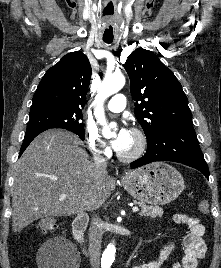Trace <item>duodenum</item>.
Here are the masks:
<instances>
[{
    "label": "duodenum",
    "instance_id": "1",
    "mask_svg": "<svg viewBox=\"0 0 221 268\" xmlns=\"http://www.w3.org/2000/svg\"><path fill=\"white\" fill-rule=\"evenodd\" d=\"M88 224V216L86 214H78L72 225V233L75 241L78 243V245L86 252L87 251V245H86V239L84 236L85 229Z\"/></svg>",
    "mask_w": 221,
    "mask_h": 268
}]
</instances>
